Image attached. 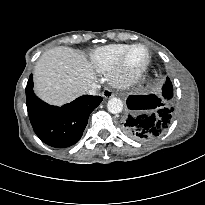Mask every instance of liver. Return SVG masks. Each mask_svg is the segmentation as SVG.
Returning a JSON list of instances; mask_svg holds the SVG:
<instances>
[{
  "label": "liver",
  "mask_w": 205,
  "mask_h": 205,
  "mask_svg": "<svg viewBox=\"0 0 205 205\" xmlns=\"http://www.w3.org/2000/svg\"><path fill=\"white\" fill-rule=\"evenodd\" d=\"M96 80L83 52L58 46L44 52L34 67V89L45 102L61 106L85 94Z\"/></svg>",
  "instance_id": "6515ba94"
}]
</instances>
